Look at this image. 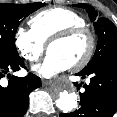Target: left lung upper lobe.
<instances>
[{
	"instance_id": "5c2ea615",
	"label": "left lung upper lobe",
	"mask_w": 117,
	"mask_h": 117,
	"mask_svg": "<svg viewBox=\"0 0 117 117\" xmlns=\"http://www.w3.org/2000/svg\"><path fill=\"white\" fill-rule=\"evenodd\" d=\"M75 6L86 9L91 21H94L95 30L99 35L95 54L87 66L81 71L86 72L117 53V28L107 18H99L97 11L92 6L87 4H78Z\"/></svg>"
}]
</instances>
